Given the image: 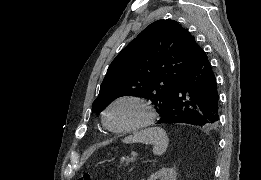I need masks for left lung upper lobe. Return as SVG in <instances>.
<instances>
[{"mask_svg":"<svg viewBox=\"0 0 261 180\" xmlns=\"http://www.w3.org/2000/svg\"><path fill=\"white\" fill-rule=\"evenodd\" d=\"M198 47L193 36L176 21L153 22L110 64L92 111L102 112L121 96H139L151 100L162 114Z\"/></svg>","mask_w":261,"mask_h":180,"instance_id":"left-lung-upper-lobe-1","label":"left lung upper lobe"}]
</instances>
